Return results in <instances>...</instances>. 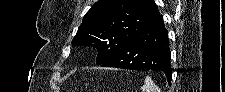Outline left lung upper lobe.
Returning a JSON list of instances; mask_svg holds the SVG:
<instances>
[{
  "instance_id": "obj_1",
  "label": "left lung upper lobe",
  "mask_w": 225,
  "mask_h": 92,
  "mask_svg": "<svg viewBox=\"0 0 225 92\" xmlns=\"http://www.w3.org/2000/svg\"><path fill=\"white\" fill-rule=\"evenodd\" d=\"M158 13L153 0H99L84 16L72 44L97 48L96 63L101 64Z\"/></svg>"
}]
</instances>
